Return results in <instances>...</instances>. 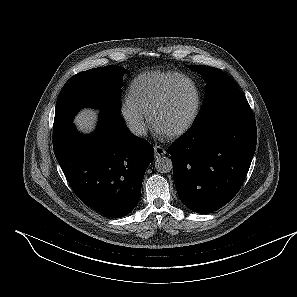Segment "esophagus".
I'll list each match as a JSON object with an SVG mask.
<instances>
[{"label": "esophagus", "instance_id": "obj_1", "mask_svg": "<svg viewBox=\"0 0 297 297\" xmlns=\"http://www.w3.org/2000/svg\"><path fill=\"white\" fill-rule=\"evenodd\" d=\"M154 154L155 157H160L166 154V150L159 145H154Z\"/></svg>", "mask_w": 297, "mask_h": 297}]
</instances>
